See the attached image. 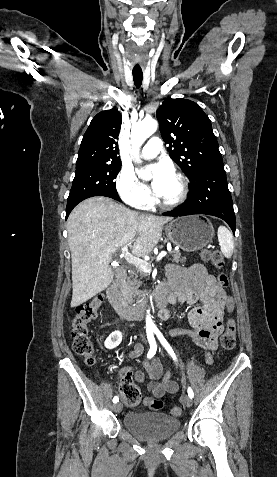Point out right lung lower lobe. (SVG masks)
Listing matches in <instances>:
<instances>
[{
	"mask_svg": "<svg viewBox=\"0 0 277 477\" xmlns=\"http://www.w3.org/2000/svg\"><path fill=\"white\" fill-rule=\"evenodd\" d=\"M113 199L120 201V198H119V197H115V198H113ZM70 212H71V211L66 212V218L68 217V215H69Z\"/></svg>",
	"mask_w": 277,
	"mask_h": 477,
	"instance_id": "1",
	"label": "right lung lower lobe"
}]
</instances>
